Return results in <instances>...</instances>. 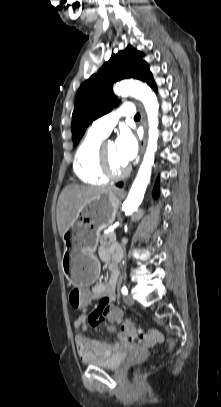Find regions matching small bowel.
<instances>
[{
  "label": "small bowel",
  "instance_id": "obj_1",
  "mask_svg": "<svg viewBox=\"0 0 221 407\" xmlns=\"http://www.w3.org/2000/svg\"><path fill=\"white\" fill-rule=\"evenodd\" d=\"M114 248L102 247L99 249V257L104 262H109L111 255L115 253ZM118 269L115 267L112 270L111 276L106 282H98L91 285V298L90 302L95 299H100L99 304L88 316V322L91 325H100L104 320L113 323L110 318L106 317V310L110 305H115V290L118 281ZM123 314V311H122ZM74 328L78 331L86 330V317L84 315L79 316L74 321ZM108 330L110 332H115L114 326H109ZM124 332V330H122ZM74 342L77 352L82 361L87 362L90 360L103 359L110 356L117 349L114 345L109 343H100L96 340L89 338L80 333L74 336Z\"/></svg>",
  "mask_w": 221,
  "mask_h": 407
}]
</instances>
